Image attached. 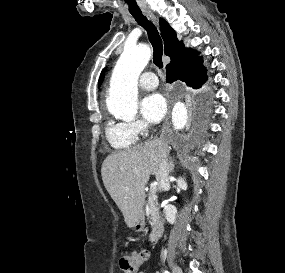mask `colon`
I'll return each mask as SVG.
<instances>
[{"label": "colon", "instance_id": "obj_1", "mask_svg": "<svg viewBox=\"0 0 285 273\" xmlns=\"http://www.w3.org/2000/svg\"><path fill=\"white\" fill-rule=\"evenodd\" d=\"M148 258L146 251H137L120 259V268L123 273H137Z\"/></svg>", "mask_w": 285, "mask_h": 273}]
</instances>
